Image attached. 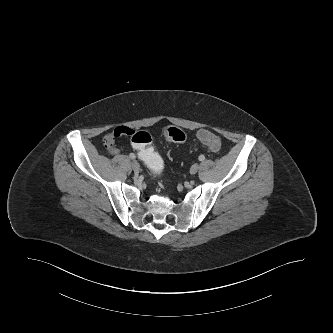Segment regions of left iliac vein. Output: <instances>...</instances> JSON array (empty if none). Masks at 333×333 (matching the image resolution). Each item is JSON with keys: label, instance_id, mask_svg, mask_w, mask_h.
<instances>
[{"label": "left iliac vein", "instance_id": "4c4485c4", "mask_svg": "<svg viewBox=\"0 0 333 333\" xmlns=\"http://www.w3.org/2000/svg\"><path fill=\"white\" fill-rule=\"evenodd\" d=\"M198 170H199V165L198 164H194L190 168V173L191 174H196L198 172Z\"/></svg>", "mask_w": 333, "mask_h": 333}]
</instances>
